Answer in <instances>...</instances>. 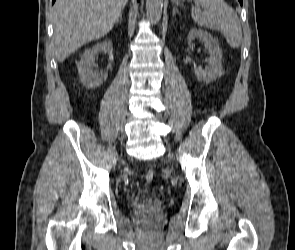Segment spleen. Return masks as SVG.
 I'll return each mask as SVG.
<instances>
[{"label": "spleen", "instance_id": "spleen-1", "mask_svg": "<svg viewBox=\"0 0 295 250\" xmlns=\"http://www.w3.org/2000/svg\"><path fill=\"white\" fill-rule=\"evenodd\" d=\"M202 12L197 7H192L193 20L201 27L220 30L228 45L238 49L242 42V30L238 16L234 9L224 0H199Z\"/></svg>", "mask_w": 295, "mask_h": 250}]
</instances>
